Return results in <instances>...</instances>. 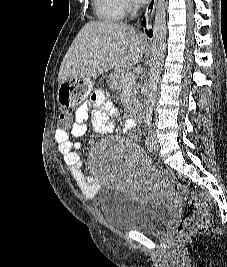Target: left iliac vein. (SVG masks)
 Wrapping results in <instances>:
<instances>
[{
    "instance_id": "left-iliac-vein-1",
    "label": "left iliac vein",
    "mask_w": 227,
    "mask_h": 267,
    "mask_svg": "<svg viewBox=\"0 0 227 267\" xmlns=\"http://www.w3.org/2000/svg\"><path fill=\"white\" fill-rule=\"evenodd\" d=\"M151 138H152V141H153V145H154V149L158 147V144H157V141H156V138H155V135H151Z\"/></svg>"
}]
</instances>
